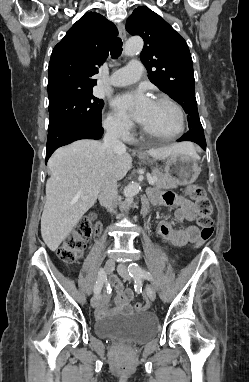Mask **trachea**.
I'll return each instance as SVG.
<instances>
[{
	"mask_svg": "<svg viewBox=\"0 0 249 382\" xmlns=\"http://www.w3.org/2000/svg\"><path fill=\"white\" fill-rule=\"evenodd\" d=\"M122 40L120 38H116L113 40L110 46V54L113 59H117L122 52Z\"/></svg>",
	"mask_w": 249,
	"mask_h": 382,
	"instance_id": "3493384b",
	"label": "trachea"
}]
</instances>
